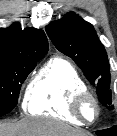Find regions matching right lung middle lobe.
Wrapping results in <instances>:
<instances>
[{"label":"right lung middle lobe","instance_id":"right-lung-middle-lobe-1","mask_svg":"<svg viewBox=\"0 0 117 136\" xmlns=\"http://www.w3.org/2000/svg\"><path fill=\"white\" fill-rule=\"evenodd\" d=\"M41 59L18 61L0 59V109H13L21 85Z\"/></svg>","mask_w":117,"mask_h":136}]
</instances>
